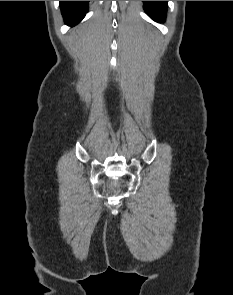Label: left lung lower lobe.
<instances>
[{
	"instance_id": "1",
	"label": "left lung lower lobe",
	"mask_w": 233,
	"mask_h": 295,
	"mask_svg": "<svg viewBox=\"0 0 233 295\" xmlns=\"http://www.w3.org/2000/svg\"><path fill=\"white\" fill-rule=\"evenodd\" d=\"M146 13L155 21L163 22L167 11V1H143Z\"/></svg>"
}]
</instances>
